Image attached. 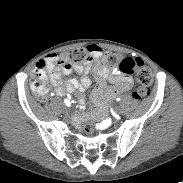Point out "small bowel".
Returning a JSON list of instances; mask_svg holds the SVG:
<instances>
[{
	"instance_id": "c3829d8e",
	"label": "small bowel",
	"mask_w": 183,
	"mask_h": 183,
	"mask_svg": "<svg viewBox=\"0 0 183 183\" xmlns=\"http://www.w3.org/2000/svg\"><path fill=\"white\" fill-rule=\"evenodd\" d=\"M88 50L92 57L93 70L98 86L93 92V99H98L104 95L106 100L112 99L114 96L123 92L129 91L133 86V79L129 74H111L108 68L102 62V49L97 45H89ZM58 60L57 55H50L46 58L47 71L50 73V80L56 86L57 92L63 94L64 92H76L78 103L83 106L85 102L84 92L90 87L91 79L89 77L90 65L77 66L75 70L82 74L80 80L76 78H68L64 85L60 84L62 74L69 76L71 68H62L56 65ZM115 123L113 117L108 116L105 120L96 124L98 129H104L107 126L111 127Z\"/></svg>"
}]
</instances>
